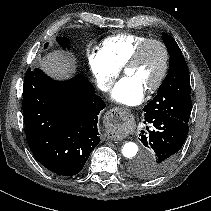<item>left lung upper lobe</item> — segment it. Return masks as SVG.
<instances>
[{
    "label": "left lung upper lobe",
    "mask_w": 211,
    "mask_h": 211,
    "mask_svg": "<svg viewBox=\"0 0 211 211\" xmlns=\"http://www.w3.org/2000/svg\"><path fill=\"white\" fill-rule=\"evenodd\" d=\"M169 55V70L157 95L144 108L145 118L168 115L188 123L191 114V87L187 64L173 37L162 33ZM133 173L140 176L133 168Z\"/></svg>",
    "instance_id": "5c2ea615"
}]
</instances>
